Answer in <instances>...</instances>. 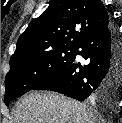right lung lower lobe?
<instances>
[{
  "label": "right lung lower lobe",
  "instance_id": "obj_1",
  "mask_svg": "<svg viewBox=\"0 0 122 123\" xmlns=\"http://www.w3.org/2000/svg\"><path fill=\"white\" fill-rule=\"evenodd\" d=\"M77 54L89 64L82 66L74 59L33 90L55 91L79 101L97 96L114 102L122 84V42L115 26L109 22L92 33L77 48Z\"/></svg>",
  "mask_w": 122,
  "mask_h": 123
}]
</instances>
